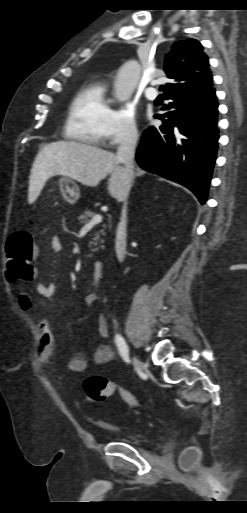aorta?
Returning a JSON list of instances; mask_svg holds the SVG:
<instances>
[{"mask_svg":"<svg viewBox=\"0 0 247 513\" xmlns=\"http://www.w3.org/2000/svg\"><path fill=\"white\" fill-rule=\"evenodd\" d=\"M140 70V64L136 60L127 61L120 67L114 87L117 101H126L131 97L138 83Z\"/></svg>","mask_w":247,"mask_h":513,"instance_id":"aorta-1","label":"aorta"}]
</instances>
